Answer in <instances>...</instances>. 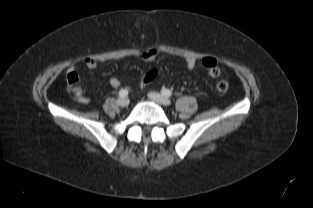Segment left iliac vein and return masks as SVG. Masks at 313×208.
<instances>
[{
	"instance_id": "1",
	"label": "left iliac vein",
	"mask_w": 313,
	"mask_h": 208,
	"mask_svg": "<svg viewBox=\"0 0 313 208\" xmlns=\"http://www.w3.org/2000/svg\"><path fill=\"white\" fill-rule=\"evenodd\" d=\"M148 97L153 100L154 102L158 103V104H162V105H165V106H168L171 104V101L168 97L162 95V94H159L157 92H150L148 94Z\"/></svg>"
}]
</instances>
